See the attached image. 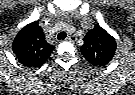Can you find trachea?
<instances>
[{
	"instance_id": "obj_1",
	"label": "trachea",
	"mask_w": 135,
	"mask_h": 95,
	"mask_svg": "<svg viewBox=\"0 0 135 95\" xmlns=\"http://www.w3.org/2000/svg\"><path fill=\"white\" fill-rule=\"evenodd\" d=\"M67 37V34L65 32H60L57 35L58 40H64Z\"/></svg>"
}]
</instances>
